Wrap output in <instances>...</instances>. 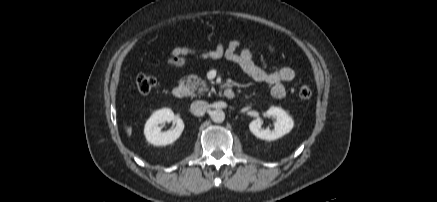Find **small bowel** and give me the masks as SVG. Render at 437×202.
<instances>
[{
  "instance_id": "c3829d8e",
  "label": "small bowel",
  "mask_w": 437,
  "mask_h": 202,
  "mask_svg": "<svg viewBox=\"0 0 437 202\" xmlns=\"http://www.w3.org/2000/svg\"><path fill=\"white\" fill-rule=\"evenodd\" d=\"M270 52L276 49L271 44H265ZM238 40H231L228 44L218 42L214 48L196 50L188 46L175 47L168 52L167 66L185 68L189 64V58L197 56L205 60H226L236 64L240 70L258 83H266L271 88V94L275 98H283L286 95V83L295 78L294 70L289 66H280L274 71L268 72L256 65L253 61L255 44H248L242 48Z\"/></svg>"
}]
</instances>
